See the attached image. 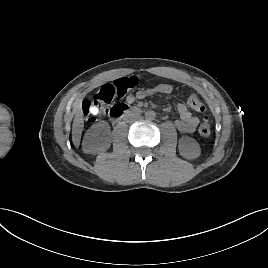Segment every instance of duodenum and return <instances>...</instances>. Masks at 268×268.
I'll use <instances>...</instances> for the list:
<instances>
[{"label":"duodenum","mask_w":268,"mask_h":268,"mask_svg":"<svg viewBox=\"0 0 268 268\" xmlns=\"http://www.w3.org/2000/svg\"><path fill=\"white\" fill-rule=\"evenodd\" d=\"M143 108L138 106H130L128 104L119 103L112 106L109 111V117L113 120H120L124 116L131 114V113H140L142 112Z\"/></svg>","instance_id":"obj_1"}]
</instances>
